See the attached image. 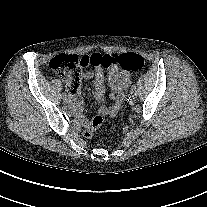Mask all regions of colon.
I'll use <instances>...</instances> for the list:
<instances>
[{
  "mask_svg": "<svg viewBox=\"0 0 207 207\" xmlns=\"http://www.w3.org/2000/svg\"><path fill=\"white\" fill-rule=\"evenodd\" d=\"M144 58L136 53H123L119 55L94 53L83 57L75 55H59L50 61V68L59 73L69 92L79 88L82 71L89 67L111 68L116 67L126 71H139L144 66ZM103 123L101 116H95L85 128L83 134L91 138L96 129Z\"/></svg>",
  "mask_w": 207,
  "mask_h": 207,
  "instance_id": "obj_1",
  "label": "colon"
}]
</instances>
